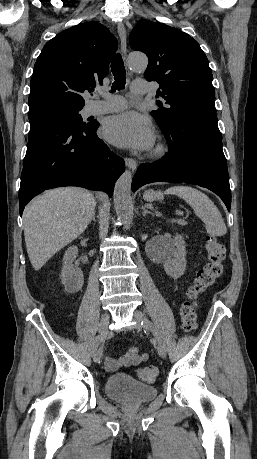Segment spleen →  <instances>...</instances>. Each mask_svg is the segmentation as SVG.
Masks as SVG:
<instances>
[{
    "instance_id": "3e777b00",
    "label": "spleen",
    "mask_w": 257,
    "mask_h": 459,
    "mask_svg": "<svg viewBox=\"0 0 257 459\" xmlns=\"http://www.w3.org/2000/svg\"><path fill=\"white\" fill-rule=\"evenodd\" d=\"M165 193L177 195L185 200L195 215L204 222L209 235L223 236L226 234L227 228L222 215L206 194L190 186H173Z\"/></svg>"
}]
</instances>
